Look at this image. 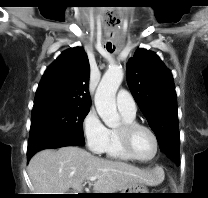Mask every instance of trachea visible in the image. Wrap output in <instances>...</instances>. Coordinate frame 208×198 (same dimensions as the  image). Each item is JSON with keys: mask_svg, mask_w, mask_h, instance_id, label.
Here are the masks:
<instances>
[{"mask_svg": "<svg viewBox=\"0 0 208 198\" xmlns=\"http://www.w3.org/2000/svg\"><path fill=\"white\" fill-rule=\"evenodd\" d=\"M106 48H107L108 51H111L112 46L111 47L110 46H106ZM113 51H114V48H113Z\"/></svg>", "mask_w": 208, "mask_h": 198, "instance_id": "1", "label": "trachea"}]
</instances>
